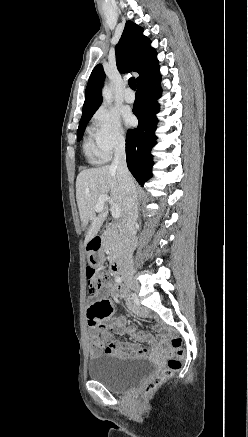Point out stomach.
<instances>
[{"label":"stomach","instance_id":"0dacf381","mask_svg":"<svg viewBox=\"0 0 248 437\" xmlns=\"http://www.w3.org/2000/svg\"><path fill=\"white\" fill-rule=\"evenodd\" d=\"M92 260H94L95 262H97V260H96L94 257H93ZM89 261H91L90 258H89ZM96 269H99V266H96Z\"/></svg>","mask_w":248,"mask_h":437}]
</instances>
